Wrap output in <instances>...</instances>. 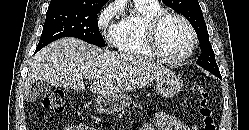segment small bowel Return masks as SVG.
Masks as SVG:
<instances>
[{
	"label": "small bowel",
	"mask_w": 249,
	"mask_h": 130,
	"mask_svg": "<svg viewBox=\"0 0 249 130\" xmlns=\"http://www.w3.org/2000/svg\"><path fill=\"white\" fill-rule=\"evenodd\" d=\"M62 130H95L83 124H71ZM140 130H198L197 125L188 123L184 116L161 112L157 114L154 123L144 125Z\"/></svg>",
	"instance_id": "c3829d8e"
}]
</instances>
